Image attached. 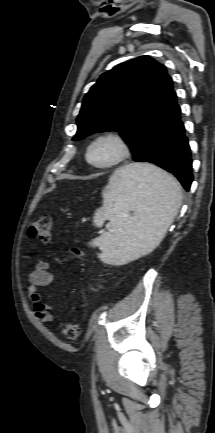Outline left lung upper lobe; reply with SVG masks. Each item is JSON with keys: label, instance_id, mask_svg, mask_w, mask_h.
I'll return each instance as SVG.
<instances>
[{"label": "left lung upper lobe", "instance_id": "left-lung-upper-lobe-1", "mask_svg": "<svg viewBox=\"0 0 215 433\" xmlns=\"http://www.w3.org/2000/svg\"><path fill=\"white\" fill-rule=\"evenodd\" d=\"M177 96L166 68L149 56L104 73L83 99L73 140L119 131L133 160L153 163L173 118Z\"/></svg>", "mask_w": 215, "mask_h": 433}]
</instances>
